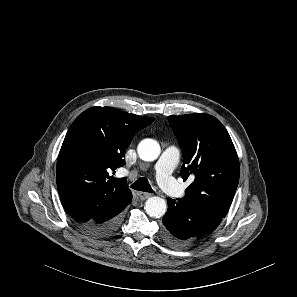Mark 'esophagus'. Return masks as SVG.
Wrapping results in <instances>:
<instances>
[{"label": "esophagus", "instance_id": "esophagus-1", "mask_svg": "<svg viewBox=\"0 0 297 297\" xmlns=\"http://www.w3.org/2000/svg\"><path fill=\"white\" fill-rule=\"evenodd\" d=\"M151 193H146V192H137V196L140 200H146L149 197H151Z\"/></svg>", "mask_w": 297, "mask_h": 297}]
</instances>
